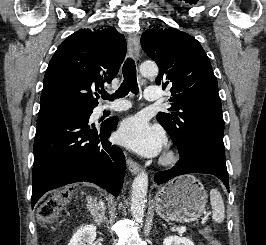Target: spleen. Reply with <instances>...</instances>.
Listing matches in <instances>:
<instances>
[{
	"label": "spleen",
	"instance_id": "spleen-1",
	"mask_svg": "<svg viewBox=\"0 0 266 245\" xmlns=\"http://www.w3.org/2000/svg\"><path fill=\"white\" fill-rule=\"evenodd\" d=\"M210 203L213 209L212 219L215 223H223L225 219V207L224 201L217 189H211L210 191Z\"/></svg>",
	"mask_w": 266,
	"mask_h": 245
}]
</instances>
